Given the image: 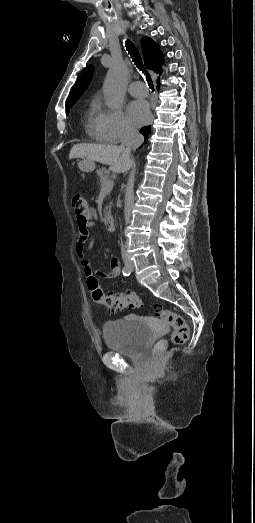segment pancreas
Here are the masks:
<instances>
[{
  "mask_svg": "<svg viewBox=\"0 0 255 523\" xmlns=\"http://www.w3.org/2000/svg\"><path fill=\"white\" fill-rule=\"evenodd\" d=\"M96 174L100 178L101 185L103 184V182H111L109 170H106V168H101V170H97ZM110 208L111 206H105L104 214H110Z\"/></svg>",
  "mask_w": 255,
  "mask_h": 523,
  "instance_id": "1",
  "label": "pancreas"
}]
</instances>
